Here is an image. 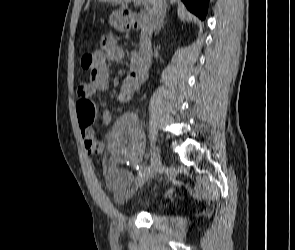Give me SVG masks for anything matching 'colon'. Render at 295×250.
<instances>
[{"label": "colon", "mask_w": 295, "mask_h": 250, "mask_svg": "<svg viewBox=\"0 0 295 250\" xmlns=\"http://www.w3.org/2000/svg\"><path fill=\"white\" fill-rule=\"evenodd\" d=\"M96 65L93 54L86 53L81 58V66L85 70H94ZM76 110L78 115L79 124L82 129H88L95 121L96 108L94 103L88 99H80L76 104Z\"/></svg>", "instance_id": "1"}]
</instances>
